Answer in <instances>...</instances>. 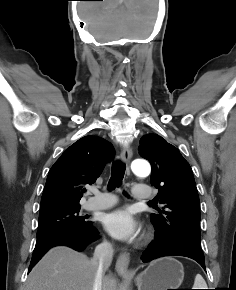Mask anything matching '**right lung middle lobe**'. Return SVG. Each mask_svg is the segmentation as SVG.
<instances>
[{"instance_id": "1", "label": "right lung middle lobe", "mask_w": 236, "mask_h": 290, "mask_svg": "<svg viewBox=\"0 0 236 290\" xmlns=\"http://www.w3.org/2000/svg\"><path fill=\"white\" fill-rule=\"evenodd\" d=\"M80 205L56 207L41 210L37 237L59 230H69L85 227L90 222L84 216H79Z\"/></svg>"}]
</instances>
